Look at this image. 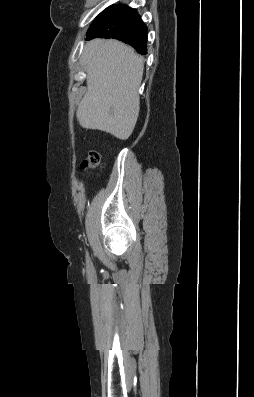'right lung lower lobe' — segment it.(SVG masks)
Returning a JSON list of instances; mask_svg holds the SVG:
<instances>
[{"label":"right lung lower lobe","instance_id":"1","mask_svg":"<svg viewBox=\"0 0 254 397\" xmlns=\"http://www.w3.org/2000/svg\"><path fill=\"white\" fill-rule=\"evenodd\" d=\"M114 38L147 53V28L139 14L126 5H112L101 12L87 32V40Z\"/></svg>","mask_w":254,"mask_h":397}]
</instances>
